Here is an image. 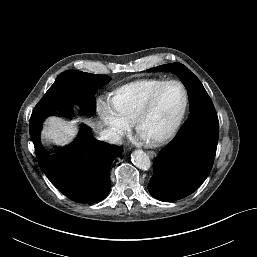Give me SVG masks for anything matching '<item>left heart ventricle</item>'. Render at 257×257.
Listing matches in <instances>:
<instances>
[{"label": "left heart ventricle", "instance_id": "b2bd125f", "mask_svg": "<svg viewBox=\"0 0 257 257\" xmlns=\"http://www.w3.org/2000/svg\"><path fill=\"white\" fill-rule=\"evenodd\" d=\"M184 100L183 91L176 84L165 87L150 112L142 120L140 132L152 139L166 132L178 115Z\"/></svg>", "mask_w": 257, "mask_h": 257}]
</instances>
